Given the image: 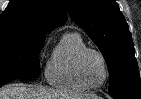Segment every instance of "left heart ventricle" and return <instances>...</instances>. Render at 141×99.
<instances>
[{
    "mask_svg": "<svg viewBox=\"0 0 141 99\" xmlns=\"http://www.w3.org/2000/svg\"><path fill=\"white\" fill-rule=\"evenodd\" d=\"M82 74L88 84H100L105 76V69L101 58L94 53L87 54L82 63Z\"/></svg>",
    "mask_w": 141,
    "mask_h": 99,
    "instance_id": "obj_1",
    "label": "left heart ventricle"
}]
</instances>
